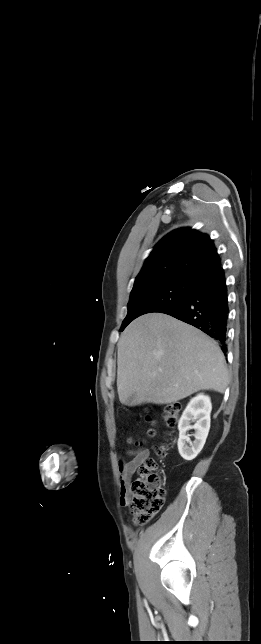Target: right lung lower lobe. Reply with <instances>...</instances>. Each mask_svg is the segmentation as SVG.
<instances>
[{
	"label": "right lung lower lobe",
	"instance_id": "right-lung-lower-lobe-1",
	"mask_svg": "<svg viewBox=\"0 0 261 644\" xmlns=\"http://www.w3.org/2000/svg\"><path fill=\"white\" fill-rule=\"evenodd\" d=\"M195 326L220 343L225 353L228 322V293L220 266L197 278L189 294L177 305L161 311Z\"/></svg>",
	"mask_w": 261,
	"mask_h": 644
}]
</instances>
